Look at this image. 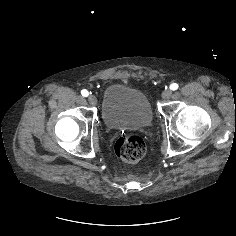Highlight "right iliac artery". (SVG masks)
I'll list each match as a JSON object with an SVG mask.
<instances>
[{
    "instance_id": "82829eb1",
    "label": "right iliac artery",
    "mask_w": 236,
    "mask_h": 236,
    "mask_svg": "<svg viewBox=\"0 0 236 236\" xmlns=\"http://www.w3.org/2000/svg\"><path fill=\"white\" fill-rule=\"evenodd\" d=\"M82 96L87 97L89 95V92L85 89L81 91Z\"/></svg>"
}]
</instances>
